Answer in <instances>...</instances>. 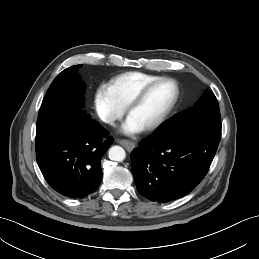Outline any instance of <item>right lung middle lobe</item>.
Returning a JSON list of instances; mask_svg holds the SVG:
<instances>
[{
  "label": "right lung middle lobe",
  "instance_id": "obj_1",
  "mask_svg": "<svg viewBox=\"0 0 259 259\" xmlns=\"http://www.w3.org/2000/svg\"><path fill=\"white\" fill-rule=\"evenodd\" d=\"M81 67L80 64L63 70L51 83L39 110L36 137L57 122L80 124L90 119L82 110L85 85L78 74Z\"/></svg>",
  "mask_w": 259,
  "mask_h": 259
}]
</instances>
